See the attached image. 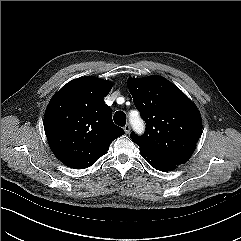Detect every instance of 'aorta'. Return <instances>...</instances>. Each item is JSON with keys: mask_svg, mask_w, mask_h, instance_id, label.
<instances>
[{"mask_svg": "<svg viewBox=\"0 0 241 241\" xmlns=\"http://www.w3.org/2000/svg\"><path fill=\"white\" fill-rule=\"evenodd\" d=\"M130 122L136 132L141 133L143 131V121L139 117H131Z\"/></svg>", "mask_w": 241, "mask_h": 241, "instance_id": "1", "label": "aorta"}]
</instances>
